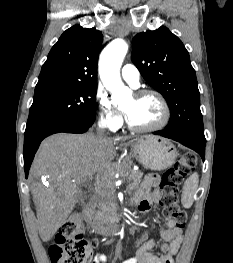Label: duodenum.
Wrapping results in <instances>:
<instances>
[{"label": "duodenum", "instance_id": "410a0bca", "mask_svg": "<svg viewBox=\"0 0 233 263\" xmlns=\"http://www.w3.org/2000/svg\"><path fill=\"white\" fill-rule=\"evenodd\" d=\"M83 216L86 222L96 230L100 235L111 236L118 234L121 230V224L116 223L113 225H109L107 227H99L95 221L93 209L90 206L89 202H86L83 207Z\"/></svg>", "mask_w": 233, "mask_h": 263}]
</instances>
